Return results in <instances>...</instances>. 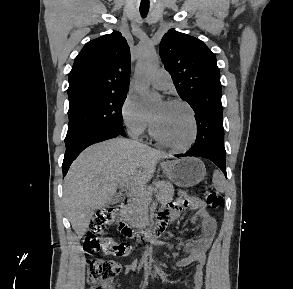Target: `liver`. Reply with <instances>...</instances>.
<instances>
[{
  "mask_svg": "<svg viewBox=\"0 0 293 289\" xmlns=\"http://www.w3.org/2000/svg\"><path fill=\"white\" fill-rule=\"evenodd\" d=\"M171 155L135 140L115 138L94 144L72 163L65 179L63 202L79 238L87 231L94 211L127 182L143 188L161 159Z\"/></svg>",
  "mask_w": 293,
  "mask_h": 289,
  "instance_id": "6515ba94",
  "label": "liver"
}]
</instances>
